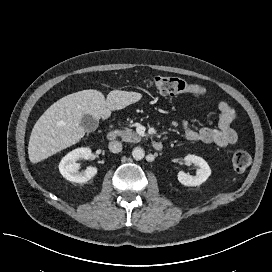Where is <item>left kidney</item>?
Masks as SVG:
<instances>
[{
    "label": "left kidney",
    "mask_w": 272,
    "mask_h": 272,
    "mask_svg": "<svg viewBox=\"0 0 272 272\" xmlns=\"http://www.w3.org/2000/svg\"><path fill=\"white\" fill-rule=\"evenodd\" d=\"M184 160L188 163H193L198 166L196 174L194 176L180 171L178 173V180L184 186H199L205 182L211 175V169L208 163L201 157L188 154Z\"/></svg>",
    "instance_id": "obj_1"
}]
</instances>
